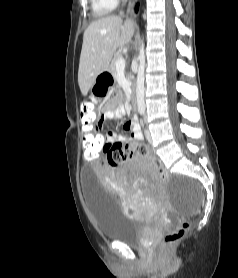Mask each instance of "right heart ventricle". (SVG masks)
<instances>
[{
  "instance_id": "e07e8e85",
  "label": "right heart ventricle",
  "mask_w": 238,
  "mask_h": 278,
  "mask_svg": "<svg viewBox=\"0 0 238 278\" xmlns=\"http://www.w3.org/2000/svg\"><path fill=\"white\" fill-rule=\"evenodd\" d=\"M93 14L96 17H103L109 14L116 6L115 0H90Z\"/></svg>"
}]
</instances>
